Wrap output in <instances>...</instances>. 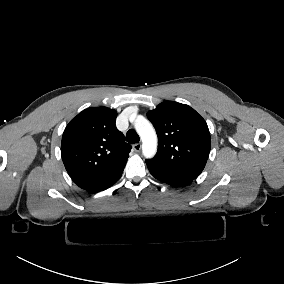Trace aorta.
<instances>
[{
    "label": "aorta",
    "instance_id": "obj_1",
    "mask_svg": "<svg viewBox=\"0 0 284 284\" xmlns=\"http://www.w3.org/2000/svg\"><path fill=\"white\" fill-rule=\"evenodd\" d=\"M134 127L142 139V153L146 158H152L157 150V135L152 124L139 115L134 121Z\"/></svg>",
    "mask_w": 284,
    "mask_h": 284
}]
</instances>
